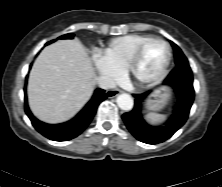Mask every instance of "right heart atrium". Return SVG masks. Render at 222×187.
Wrapping results in <instances>:
<instances>
[{
    "instance_id": "1",
    "label": "right heart atrium",
    "mask_w": 222,
    "mask_h": 187,
    "mask_svg": "<svg viewBox=\"0 0 222 187\" xmlns=\"http://www.w3.org/2000/svg\"><path fill=\"white\" fill-rule=\"evenodd\" d=\"M93 62L99 75L106 81L114 82L119 78L121 71L101 55L94 56Z\"/></svg>"
}]
</instances>
